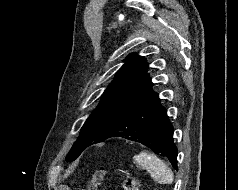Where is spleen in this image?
<instances>
[{"mask_svg":"<svg viewBox=\"0 0 238 190\" xmlns=\"http://www.w3.org/2000/svg\"><path fill=\"white\" fill-rule=\"evenodd\" d=\"M137 165L146 169L150 176L160 184H171L174 179L172 170L156 155L141 152L134 156Z\"/></svg>","mask_w":238,"mask_h":190,"instance_id":"obj_1","label":"spleen"}]
</instances>
